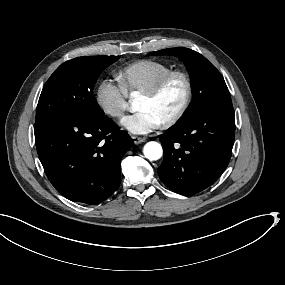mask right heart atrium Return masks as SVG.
Segmentation results:
<instances>
[{
    "instance_id": "obj_1",
    "label": "right heart atrium",
    "mask_w": 285,
    "mask_h": 285,
    "mask_svg": "<svg viewBox=\"0 0 285 285\" xmlns=\"http://www.w3.org/2000/svg\"><path fill=\"white\" fill-rule=\"evenodd\" d=\"M100 98L104 111L112 118H121L133 105L132 97L120 86L111 81H103Z\"/></svg>"
}]
</instances>
